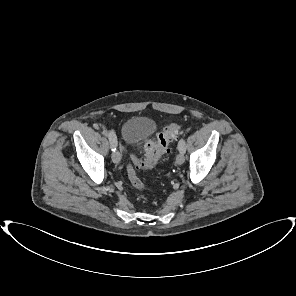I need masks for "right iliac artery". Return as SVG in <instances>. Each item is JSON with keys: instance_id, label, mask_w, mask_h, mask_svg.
Here are the masks:
<instances>
[{"instance_id": "obj_1", "label": "right iliac artery", "mask_w": 296, "mask_h": 296, "mask_svg": "<svg viewBox=\"0 0 296 296\" xmlns=\"http://www.w3.org/2000/svg\"><path fill=\"white\" fill-rule=\"evenodd\" d=\"M104 135L108 136L109 137V141H110V144H111V148H112V151H115L116 150V145H117V138H116V135L113 131H104Z\"/></svg>"}]
</instances>
